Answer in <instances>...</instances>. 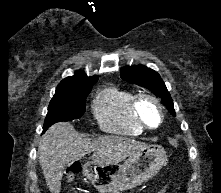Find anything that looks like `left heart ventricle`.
I'll return each mask as SVG.
<instances>
[{
    "mask_svg": "<svg viewBox=\"0 0 221 193\" xmlns=\"http://www.w3.org/2000/svg\"><path fill=\"white\" fill-rule=\"evenodd\" d=\"M141 115L150 125L155 126L159 122V114L156 106L151 102L141 105Z\"/></svg>",
    "mask_w": 221,
    "mask_h": 193,
    "instance_id": "1",
    "label": "left heart ventricle"
}]
</instances>
